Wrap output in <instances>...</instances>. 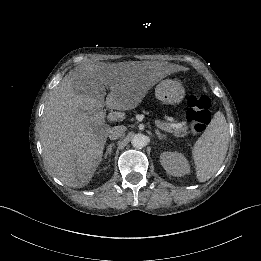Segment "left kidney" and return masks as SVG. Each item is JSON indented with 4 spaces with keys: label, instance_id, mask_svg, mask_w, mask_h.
I'll return each mask as SVG.
<instances>
[{
    "label": "left kidney",
    "instance_id": "obj_1",
    "mask_svg": "<svg viewBox=\"0 0 261 261\" xmlns=\"http://www.w3.org/2000/svg\"><path fill=\"white\" fill-rule=\"evenodd\" d=\"M160 163L168 175L181 177L190 173V165L183 154L178 152H163Z\"/></svg>",
    "mask_w": 261,
    "mask_h": 261
}]
</instances>
